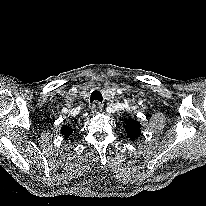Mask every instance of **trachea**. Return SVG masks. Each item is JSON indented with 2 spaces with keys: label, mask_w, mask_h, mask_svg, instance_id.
Masks as SVG:
<instances>
[{
  "label": "trachea",
  "mask_w": 206,
  "mask_h": 206,
  "mask_svg": "<svg viewBox=\"0 0 206 206\" xmlns=\"http://www.w3.org/2000/svg\"><path fill=\"white\" fill-rule=\"evenodd\" d=\"M102 100H103V96H102V93L99 91V90H94L92 93H91V97H90V102L93 103V102H99V103H102Z\"/></svg>",
  "instance_id": "1"
}]
</instances>
